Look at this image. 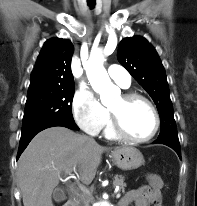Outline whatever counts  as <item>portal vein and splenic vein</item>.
Segmentation results:
<instances>
[{
	"mask_svg": "<svg viewBox=\"0 0 197 206\" xmlns=\"http://www.w3.org/2000/svg\"><path fill=\"white\" fill-rule=\"evenodd\" d=\"M66 173L69 174V175L71 174L70 171H67ZM70 177H72V176H70ZM80 187H81V186H80ZM120 196H121V193H117V194H116V198H120Z\"/></svg>",
	"mask_w": 197,
	"mask_h": 206,
	"instance_id": "18ae733b",
	"label": "portal vein and splenic vein"
}]
</instances>
